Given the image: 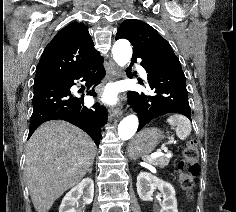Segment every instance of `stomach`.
<instances>
[{
	"mask_svg": "<svg viewBox=\"0 0 236 212\" xmlns=\"http://www.w3.org/2000/svg\"><path fill=\"white\" fill-rule=\"evenodd\" d=\"M164 138L163 132L157 128H146L139 132L129 147L131 157L143 156L152 152L156 145Z\"/></svg>",
	"mask_w": 236,
	"mask_h": 212,
	"instance_id": "stomach-1",
	"label": "stomach"
}]
</instances>
